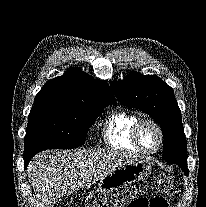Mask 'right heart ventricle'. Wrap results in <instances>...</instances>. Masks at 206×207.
<instances>
[{"label":"right heart ventricle","instance_id":"1","mask_svg":"<svg viewBox=\"0 0 206 207\" xmlns=\"http://www.w3.org/2000/svg\"><path fill=\"white\" fill-rule=\"evenodd\" d=\"M139 119L137 114L122 109L110 113L102 127L107 145L116 150L139 152L132 141V128Z\"/></svg>","mask_w":206,"mask_h":207}]
</instances>
